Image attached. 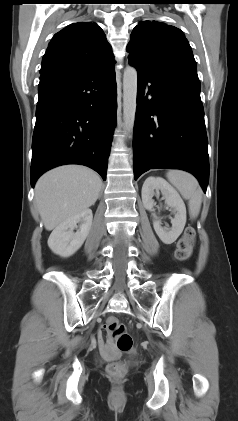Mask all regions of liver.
<instances>
[{
	"label": "liver",
	"instance_id": "obj_1",
	"mask_svg": "<svg viewBox=\"0 0 238 421\" xmlns=\"http://www.w3.org/2000/svg\"><path fill=\"white\" fill-rule=\"evenodd\" d=\"M101 186L100 176L84 166H61L41 176L35 186V202L46 230L92 206Z\"/></svg>",
	"mask_w": 238,
	"mask_h": 421
}]
</instances>
